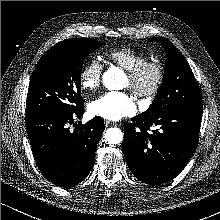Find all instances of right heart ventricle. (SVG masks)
<instances>
[{"instance_id":"e07e8e85","label":"right heart ventricle","mask_w":220,"mask_h":220,"mask_svg":"<svg viewBox=\"0 0 220 220\" xmlns=\"http://www.w3.org/2000/svg\"><path fill=\"white\" fill-rule=\"evenodd\" d=\"M107 58L110 63L126 71H131L148 60L145 54L139 53L131 48L114 49L107 53Z\"/></svg>"}]
</instances>
